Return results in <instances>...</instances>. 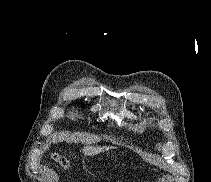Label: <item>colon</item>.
Returning a JSON list of instances; mask_svg holds the SVG:
<instances>
[{
	"mask_svg": "<svg viewBox=\"0 0 211 182\" xmlns=\"http://www.w3.org/2000/svg\"><path fill=\"white\" fill-rule=\"evenodd\" d=\"M53 159L59 163L63 168H69V161L65 157L61 156L60 154L56 153L53 155Z\"/></svg>",
	"mask_w": 211,
	"mask_h": 182,
	"instance_id": "5ec220e1",
	"label": "colon"
}]
</instances>
